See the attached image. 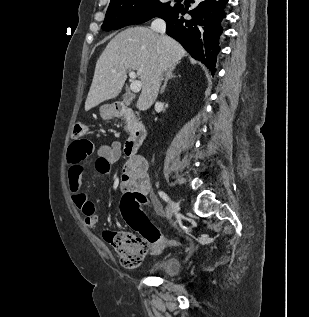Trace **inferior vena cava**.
Masks as SVG:
<instances>
[{
  "instance_id": "602c4592",
  "label": "inferior vena cava",
  "mask_w": 309,
  "mask_h": 317,
  "mask_svg": "<svg viewBox=\"0 0 309 317\" xmlns=\"http://www.w3.org/2000/svg\"><path fill=\"white\" fill-rule=\"evenodd\" d=\"M151 29L163 36L166 30V23L164 20L157 18L152 22Z\"/></svg>"
}]
</instances>
